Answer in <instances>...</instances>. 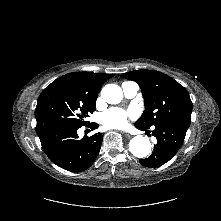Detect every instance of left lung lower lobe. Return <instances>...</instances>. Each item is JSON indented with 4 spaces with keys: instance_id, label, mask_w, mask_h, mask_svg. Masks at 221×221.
Returning a JSON list of instances; mask_svg holds the SVG:
<instances>
[{
    "instance_id": "1",
    "label": "left lung lower lobe",
    "mask_w": 221,
    "mask_h": 221,
    "mask_svg": "<svg viewBox=\"0 0 221 221\" xmlns=\"http://www.w3.org/2000/svg\"><path fill=\"white\" fill-rule=\"evenodd\" d=\"M140 130H147L135 124ZM188 127L177 124H164L156 126L152 131L157 139L151 156L139 159L140 164L149 168L159 167L171 160L182 146Z\"/></svg>"
}]
</instances>
